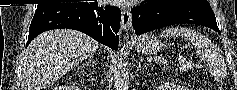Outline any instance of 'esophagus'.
I'll use <instances>...</instances> for the list:
<instances>
[{"label":"esophagus","instance_id":"esophagus-1","mask_svg":"<svg viewBox=\"0 0 237 90\" xmlns=\"http://www.w3.org/2000/svg\"><path fill=\"white\" fill-rule=\"evenodd\" d=\"M131 20L132 17L130 9L123 8L120 30L123 32L124 40H130V41L133 40L130 35L131 24H132Z\"/></svg>","mask_w":237,"mask_h":90}]
</instances>
